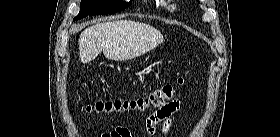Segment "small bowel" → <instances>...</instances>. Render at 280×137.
<instances>
[{"label":"small bowel","mask_w":280,"mask_h":137,"mask_svg":"<svg viewBox=\"0 0 280 137\" xmlns=\"http://www.w3.org/2000/svg\"><path fill=\"white\" fill-rule=\"evenodd\" d=\"M180 108L181 102L174 100L153 112L145 121V127L148 132L156 134L157 131H160L162 135L168 134L172 126L173 116ZM102 137H131V133L125 127H118L111 133L103 134Z\"/></svg>","instance_id":"1"}]
</instances>
